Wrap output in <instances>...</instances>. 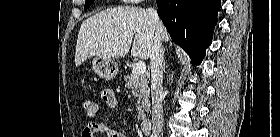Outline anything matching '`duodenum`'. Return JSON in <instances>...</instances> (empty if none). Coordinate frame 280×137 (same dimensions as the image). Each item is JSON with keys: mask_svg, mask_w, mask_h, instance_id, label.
Here are the masks:
<instances>
[{"mask_svg": "<svg viewBox=\"0 0 280 137\" xmlns=\"http://www.w3.org/2000/svg\"><path fill=\"white\" fill-rule=\"evenodd\" d=\"M152 120L150 119H146L144 120L141 125H140V130L144 133V134H150L152 131Z\"/></svg>", "mask_w": 280, "mask_h": 137, "instance_id": "duodenum-1", "label": "duodenum"}]
</instances>
